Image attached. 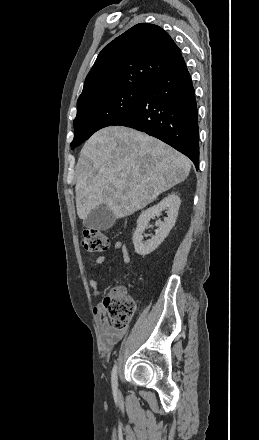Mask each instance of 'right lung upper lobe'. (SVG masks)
<instances>
[{
    "label": "right lung upper lobe",
    "instance_id": "right-lung-upper-lobe-1",
    "mask_svg": "<svg viewBox=\"0 0 259 440\" xmlns=\"http://www.w3.org/2000/svg\"><path fill=\"white\" fill-rule=\"evenodd\" d=\"M181 58V50L161 27L137 24L99 53L77 107L117 90L148 88Z\"/></svg>",
    "mask_w": 259,
    "mask_h": 440
}]
</instances>
